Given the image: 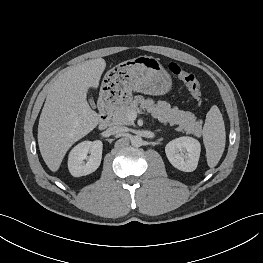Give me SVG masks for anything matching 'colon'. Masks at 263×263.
<instances>
[{
	"label": "colon",
	"mask_w": 263,
	"mask_h": 263,
	"mask_svg": "<svg viewBox=\"0 0 263 263\" xmlns=\"http://www.w3.org/2000/svg\"><path fill=\"white\" fill-rule=\"evenodd\" d=\"M168 69L175 77H177L187 86L189 91L193 94V96L198 101L201 100L202 98L201 86L198 80L196 79V77L192 73L184 70L180 65L174 62L168 65Z\"/></svg>",
	"instance_id": "colon-1"
}]
</instances>
